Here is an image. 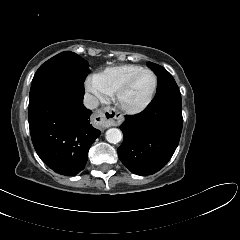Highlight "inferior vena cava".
<instances>
[{
  "label": "inferior vena cava",
  "instance_id": "obj_1",
  "mask_svg": "<svg viewBox=\"0 0 240 240\" xmlns=\"http://www.w3.org/2000/svg\"><path fill=\"white\" fill-rule=\"evenodd\" d=\"M83 102H84V106H85L87 109H90V110L97 108L98 105H99V100H98V98L95 97V96H93V95H91V94H89V93H86V94L84 95V100H83Z\"/></svg>",
  "mask_w": 240,
  "mask_h": 240
}]
</instances>
